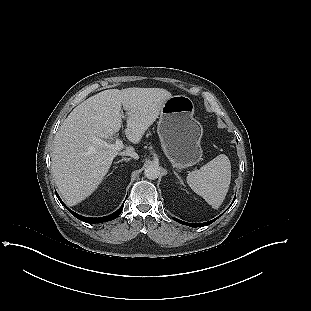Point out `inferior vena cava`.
Masks as SVG:
<instances>
[{"label": "inferior vena cava", "mask_w": 311, "mask_h": 311, "mask_svg": "<svg viewBox=\"0 0 311 311\" xmlns=\"http://www.w3.org/2000/svg\"><path fill=\"white\" fill-rule=\"evenodd\" d=\"M121 155L130 156V157H132L133 159H136V160L139 159V156H138V154L135 151L122 152Z\"/></svg>", "instance_id": "602c4592"}]
</instances>
